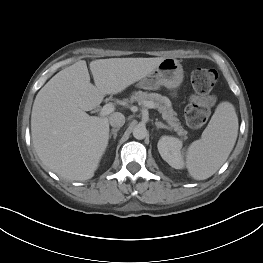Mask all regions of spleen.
Instances as JSON below:
<instances>
[{"label": "spleen", "mask_w": 263, "mask_h": 263, "mask_svg": "<svg viewBox=\"0 0 263 263\" xmlns=\"http://www.w3.org/2000/svg\"><path fill=\"white\" fill-rule=\"evenodd\" d=\"M238 134V117L229 102L220 103L199 140L186 154L189 174L196 180L212 176L226 161Z\"/></svg>", "instance_id": "3e777b00"}]
</instances>
